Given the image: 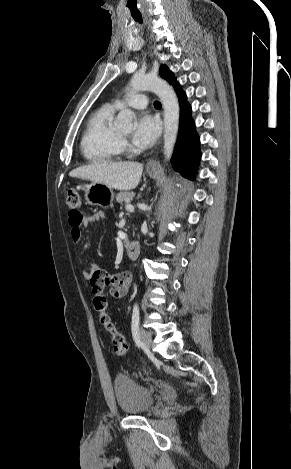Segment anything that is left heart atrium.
<instances>
[{
  "mask_svg": "<svg viewBox=\"0 0 291 469\" xmlns=\"http://www.w3.org/2000/svg\"><path fill=\"white\" fill-rule=\"evenodd\" d=\"M160 133L157 118L150 114L141 115L135 125L133 140L136 145L146 148L154 144Z\"/></svg>",
  "mask_w": 291,
  "mask_h": 469,
  "instance_id": "1",
  "label": "left heart atrium"
}]
</instances>
